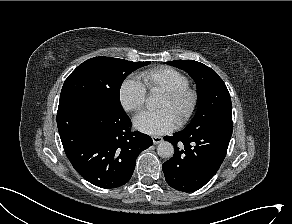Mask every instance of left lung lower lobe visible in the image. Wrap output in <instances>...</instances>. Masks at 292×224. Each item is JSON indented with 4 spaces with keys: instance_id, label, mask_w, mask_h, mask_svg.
<instances>
[{
    "instance_id": "obj_1",
    "label": "left lung lower lobe",
    "mask_w": 292,
    "mask_h": 224,
    "mask_svg": "<svg viewBox=\"0 0 292 224\" xmlns=\"http://www.w3.org/2000/svg\"><path fill=\"white\" fill-rule=\"evenodd\" d=\"M233 125H220L204 131L176 132L164 140L175 147L174 156L162 165L166 182L174 189L193 192L204 186L222 164Z\"/></svg>"
}]
</instances>
